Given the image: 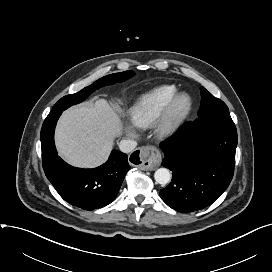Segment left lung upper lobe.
I'll return each mask as SVG.
<instances>
[{
  "label": "left lung upper lobe",
  "instance_id": "1",
  "mask_svg": "<svg viewBox=\"0 0 272 272\" xmlns=\"http://www.w3.org/2000/svg\"><path fill=\"white\" fill-rule=\"evenodd\" d=\"M200 90L202 101L200 110L198 111V117H202L216 112L229 111L228 107L223 101L214 97L204 87H201Z\"/></svg>",
  "mask_w": 272,
  "mask_h": 272
}]
</instances>
